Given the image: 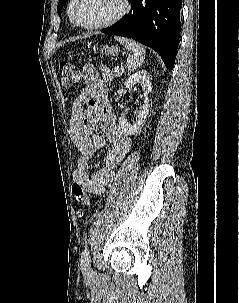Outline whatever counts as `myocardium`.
Here are the masks:
<instances>
[{"mask_svg": "<svg viewBox=\"0 0 239 303\" xmlns=\"http://www.w3.org/2000/svg\"><path fill=\"white\" fill-rule=\"evenodd\" d=\"M79 0H72V4L70 7V15L72 22L83 29L86 30H95V29H103L110 27L116 23H118L120 20H122L129 12L130 10V2L129 0H120L121 2V9L118 14H116L114 17H112L109 20L100 22V23H94V24H83L79 21L77 14H76V7L78 4Z\"/></svg>", "mask_w": 239, "mask_h": 303, "instance_id": "1", "label": "myocardium"}]
</instances>
